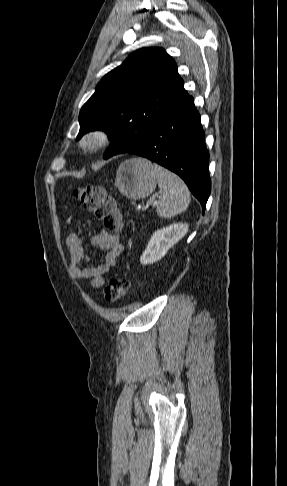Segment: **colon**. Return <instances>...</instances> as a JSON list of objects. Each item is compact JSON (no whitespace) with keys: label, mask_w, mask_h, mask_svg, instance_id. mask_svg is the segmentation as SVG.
Listing matches in <instances>:
<instances>
[{"label":"colon","mask_w":287,"mask_h":486,"mask_svg":"<svg viewBox=\"0 0 287 486\" xmlns=\"http://www.w3.org/2000/svg\"><path fill=\"white\" fill-rule=\"evenodd\" d=\"M73 197L96 219L103 222L106 231L118 233L122 230L123 220L114 198L98 185L86 184L71 190ZM129 288L125 278L113 277L104 288V298L108 302L120 300Z\"/></svg>","instance_id":"5ec220e1"}]
</instances>
